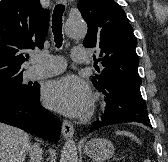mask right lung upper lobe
<instances>
[{
  "instance_id": "right-lung-upper-lobe-1",
  "label": "right lung upper lobe",
  "mask_w": 168,
  "mask_h": 162,
  "mask_svg": "<svg viewBox=\"0 0 168 162\" xmlns=\"http://www.w3.org/2000/svg\"><path fill=\"white\" fill-rule=\"evenodd\" d=\"M49 15L39 0L0 2V75L23 72L26 51L43 48Z\"/></svg>"
}]
</instances>
